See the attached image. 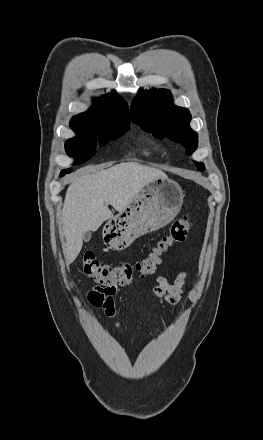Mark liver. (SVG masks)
Wrapping results in <instances>:
<instances>
[{"mask_svg":"<svg viewBox=\"0 0 263 440\" xmlns=\"http://www.w3.org/2000/svg\"><path fill=\"white\" fill-rule=\"evenodd\" d=\"M165 177L163 171L136 162L120 163L77 177L67 189L62 210L66 263L71 264L77 258L86 231H97L104 221L113 217L109 204L121 212L146 184Z\"/></svg>","mask_w":263,"mask_h":440,"instance_id":"obj_1","label":"liver"}]
</instances>
